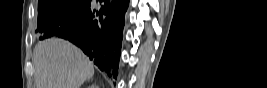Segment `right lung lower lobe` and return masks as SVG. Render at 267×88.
Returning <instances> with one entry per match:
<instances>
[{
  "instance_id": "right-lung-lower-lobe-1",
  "label": "right lung lower lobe",
  "mask_w": 267,
  "mask_h": 88,
  "mask_svg": "<svg viewBox=\"0 0 267 88\" xmlns=\"http://www.w3.org/2000/svg\"><path fill=\"white\" fill-rule=\"evenodd\" d=\"M99 2L103 3L99 11L89 5L50 34L80 47L100 70L116 79L129 0Z\"/></svg>"
}]
</instances>
